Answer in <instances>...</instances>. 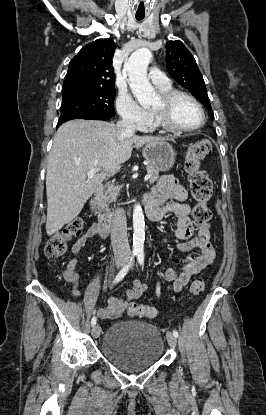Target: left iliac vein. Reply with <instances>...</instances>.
Wrapping results in <instances>:
<instances>
[{
    "label": "left iliac vein",
    "instance_id": "1",
    "mask_svg": "<svg viewBox=\"0 0 266 415\" xmlns=\"http://www.w3.org/2000/svg\"><path fill=\"white\" fill-rule=\"evenodd\" d=\"M166 337H167L168 344L171 347H175L177 343L176 337L171 332H167Z\"/></svg>",
    "mask_w": 266,
    "mask_h": 415
}]
</instances>
